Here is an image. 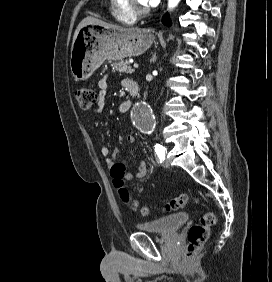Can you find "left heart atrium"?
Segmentation results:
<instances>
[{
	"label": "left heart atrium",
	"instance_id": "left-heart-atrium-1",
	"mask_svg": "<svg viewBox=\"0 0 272 282\" xmlns=\"http://www.w3.org/2000/svg\"><path fill=\"white\" fill-rule=\"evenodd\" d=\"M144 1H145L146 6L149 8V7L156 6L160 0H144Z\"/></svg>",
	"mask_w": 272,
	"mask_h": 282
}]
</instances>
